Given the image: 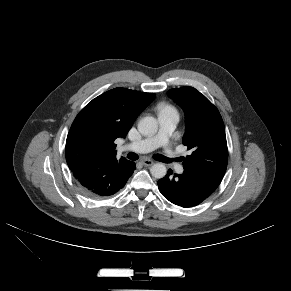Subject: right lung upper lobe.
I'll use <instances>...</instances> for the list:
<instances>
[{
  "label": "right lung upper lobe",
  "mask_w": 291,
  "mask_h": 291,
  "mask_svg": "<svg viewBox=\"0 0 291 291\" xmlns=\"http://www.w3.org/2000/svg\"><path fill=\"white\" fill-rule=\"evenodd\" d=\"M153 93L115 88L89 102L75 118L66 140L69 168L96 158L116 157L115 139L125 138Z\"/></svg>",
  "instance_id": "cb5924a9"
}]
</instances>
